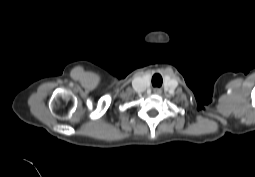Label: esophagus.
Listing matches in <instances>:
<instances>
[{"label": "esophagus", "instance_id": "1", "mask_svg": "<svg viewBox=\"0 0 255 177\" xmlns=\"http://www.w3.org/2000/svg\"><path fill=\"white\" fill-rule=\"evenodd\" d=\"M153 92H154V94H160V93H161V89L155 88V89L153 90Z\"/></svg>", "mask_w": 255, "mask_h": 177}]
</instances>
